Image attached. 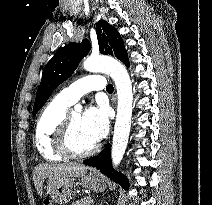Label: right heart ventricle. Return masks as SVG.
I'll list each match as a JSON object with an SVG mask.
<instances>
[{
  "label": "right heart ventricle",
  "mask_w": 212,
  "mask_h": 205,
  "mask_svg": "<svg viewBox=\"0 0 212 205\" xmlns=\"http://www.w3.org/2000/svg\"><path fill=\"white\" fill-rule=\"evenodd\" d=\"M69 105L56 96L42 109L36 121L35 146L40 155L47 161L58 162L65 158L56 150L54 136Z\"/></svg>",
  "instance_id": "e07e8e85"
}]
</instances>
